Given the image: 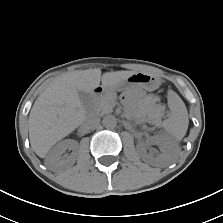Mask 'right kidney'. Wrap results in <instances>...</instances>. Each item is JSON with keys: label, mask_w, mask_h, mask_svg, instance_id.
Here are the masks:
<instances>
[{"label": "right kidney", "mask_w": 223, "mask_h": 223, "mask_svg": "<svg viewBox=\"0 0 223 223\" xmlns=\"http://www.w3.org/2000/svg\"><path fill=\"white\" fill-rule=\"evenodd\" d=\"M75 145L74 141L71 140H63L59 142L53 149L50 151L48 156L46 157L45 164L47 167L53 169L61 166H71L74 164V156L65 157L63 154L70 147Z\"/></svg>", "instance_id": "ca27d5eb"}]
</instances>
